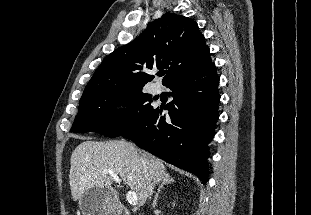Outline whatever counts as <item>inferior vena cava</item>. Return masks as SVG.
Segmentation results:
<instances>
[{
	"label": "inferior vena cava",
	"instance_id": "1",
	"mask_svg": "<svg viewBox=\"0 0 311 215\" xmlns=\"http://www.w3.org/2000/svg\"><path fill=\"white\" fill-rule=\"evenodd\" d=\"M149 187H150V195L152 194V190H153V187H152V185H149Z\"/></svg>",
	"mask_w": 311,
	"mask_h": 215
}]
</instances>
